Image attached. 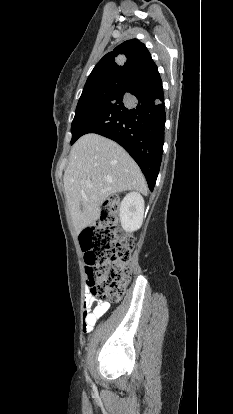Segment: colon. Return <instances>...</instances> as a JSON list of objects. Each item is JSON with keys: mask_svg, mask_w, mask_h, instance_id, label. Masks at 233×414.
<instances>
[{"mask_svg": "<svg viewBox=\"0 0 233 414\" xmlns=\"http://www.w3.org/2000/svg\"><path fill=\"white\" fill-rule=\"evenodd\" d=\"M120 204L109 200L97 225L81 233L90 295L119 301L132 277L131 254L135 238L119 228Z\"/></svg>", "mask_w": 233, "mask_h": 414, "instance_id": "1", "label": "colon"}]
</instances>
